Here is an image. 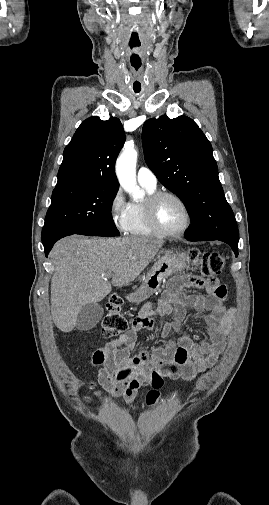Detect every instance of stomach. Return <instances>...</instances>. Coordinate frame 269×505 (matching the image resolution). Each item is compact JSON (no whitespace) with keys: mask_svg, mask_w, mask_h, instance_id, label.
Returning <instances> with one entry per match:
<instances>
[{"mask_svg":"<svg viewBox=\"0 0 269 505\" xmlns=\"http://www.w3.org/2000/svg\"><path fill=\"white\" fill-rule=\"evenodd\" d=\"M190 264V257L186 253L176 252L162 256L149 270L132 301L138 302L151 296L160 289L163 280L184 269H189Z\"/></svg>","mask_w":269,"mask_h":505,"instance_id":"stomach-1","label":"stomach"}]
</instances>
